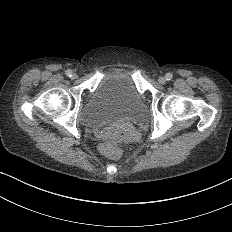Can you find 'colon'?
<instances>
[{
  "instance_id": "colon-1",
  "label": "colon",
  "mask_w": 232,
  "mask_h": 232,
  "mask_svg": "<svg viewBox=\"0 0 232 232\" xmlns=\"http://www.w3.org/2000/svg\"><path fill=\"white\" fill-rule=\"evenodd\" d=\"M138 135L139 129L133 122H114L110 125L109 130L103 129L99 131L96 140L104 153H111L115 147L131 143Z\"/></svg>"
}]
</instances>
